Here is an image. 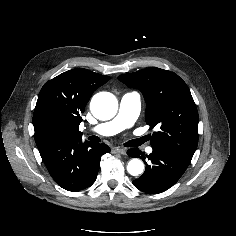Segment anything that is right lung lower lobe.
<instances>
[{
  "mask_svg": "<svg viewBox=\"0 0 236 236\" xmlns=\"http://www.w3.org/2000/svg\"><path fill=\"white\" fill-rule=\"evenodd\" d=\"M38 149L52 178L71 192L94 183L102 155L110 152L106 144L82 143L81 137L58 139Z\"/></svg>",
  "mask_w": 236,
  "mask_h": 236,
  "instance_id": "obj_1",
  "label": "right lung lower lobe"
}]
</instances>
